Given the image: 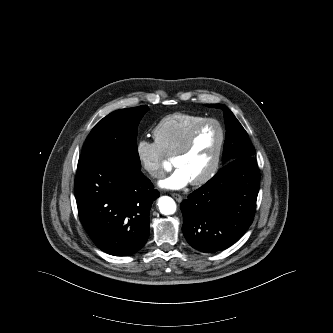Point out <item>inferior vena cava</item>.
Returning a JSON list of instances; mask_svg holds the SVG:
<instances>
[{"label": "inferior vena cava", "instance_id": "inferior-vena-cava-1", "mask_svg": "<svg viewBox=\"0 0 333 333\" xmlns=\"http://www.w3.org/2000/svg\"><path fill=\"white\" fill-rule=\"evenodd\" d=\"M151 175L155 178H163L165 176V173L163 170H155L151 172Z\"/></svg>", "mask_w": 333, "mask_h": 333}]
</instances>
